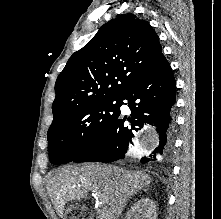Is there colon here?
I'll return each instance as SVG.
<instances>
[{
	"mask_svg": "<svg viewBox=\"0 0 221 219\" xmlns=\"http://www.w3.org/2000/svg\"><path fill=\"white\" fill-rule=\"evenodd\" d=\"M66 219H91V216L79 206H70L66 210Z\"/></svg>",
	"mask_w": 221,
	"mask_h": 219,
	"instance_id": "1",
	"label": "colon"
}]
</instances>
